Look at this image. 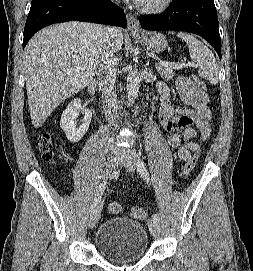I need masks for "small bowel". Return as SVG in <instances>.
I'll use <instances>...</instances> for the list:
<instances>
[{
    "instance_id": "c3829d8e",
    "label": "small bowel",
    "mask_w": 253,
    "mask_h": 271,
    "mask_svg": "<svg viewBox=\"0 0 253 271\" xmlns=\"http://www.w3.org/2000/svg\"><path fill=\"white\" fill-rule=\"evenodd\" d=\"M182 101L188 105L184 109L172 108L170 91L160 82L159 122L170 133L169 146L176 150L175 158L188 161L193 152L198 151L196 140H206L211 134V111L207 106V96L201 92L194 80L181 76L176 81Z\"/></svg>"
}]
</instances>
